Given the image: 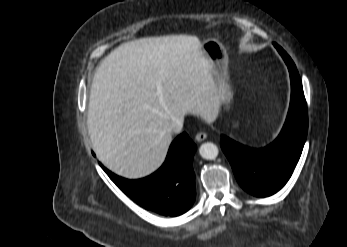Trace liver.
<instances>
[{
	"label": "liver",
	"mask_w": 347,
	"mask_h": 247,
	"mask_svg": "<svg viewBox=\"0 0 347 247\" xmlns=\"http://www.w3.org/2000/svg\"><path fill=\"white\" fill-rule=\"evenodd\" d=\"M196 36L168 35L121 44L98 67L90 91L88 132L99 160L129 179L165 160L169 126L191 113L216 120L225 93Z\"/></svg>",
	"instance_id": "obj_1"
}]
</instances>
